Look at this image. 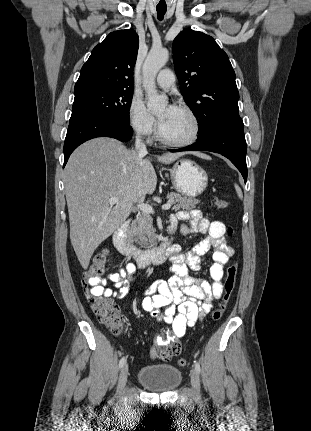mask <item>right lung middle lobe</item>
<instances>
[{"label":"right lung middle lobe","mask_w":311,"mask_h":431,"mask_svg":"<svg viewBox=\"0 0 311 431\" xmlns=\"http://www.w3.org/2000/svg\"><path fill=\"white\" fill-rule=\"evenodd\" d=\"M70 122L87 116L129 121L133 91L88 88L74 91Z\"/></svg>","instance_id":"obj_1"}]
</instances>
